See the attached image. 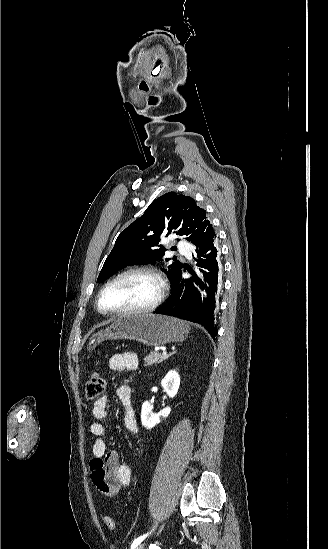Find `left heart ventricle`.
Listing matches in <instances>:
<instances>
[{
	"mask_svg": "<svg viewBox=\"0 0 328 549\" xmlns=\"http://www.w3.org/2000/svg\"><path fill=\"white\" fill-rule=\"evenodd\" d=\"M158 284L148 274L131 272L113 283L103 296V306L113 311L142 307L157 295Z\"/></svg>",
	"mask_w": 328,
	"mask_h": 549,
	"instance_id": "1",
	"label": "left heart ventricle"
}]
</instances>
